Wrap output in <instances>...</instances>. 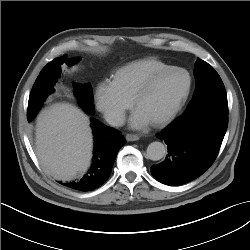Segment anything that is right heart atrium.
I'll return each mask as SVG.
<instances>
[{
	"label": "right heart atrium",
	"instance_id": "1",
	"mask_svg": "<svg viewBox=\"0 0 250 250\" xmlns=\"http://www.w3.org/2000/svg\"><path fill=\"white\" fill-rule=\"evenodd\" d=\"M94 100L97 109L114 126L124 122L127 111L133 105L132 99L118 91L109 80H102L96 85Z\"/></svg>",
	"mask_w": 250,
	"mask_h": 250
}]
</instances>
